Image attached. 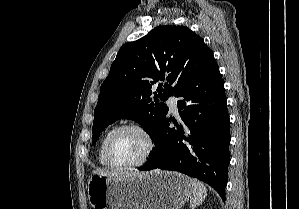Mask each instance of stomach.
I'll return each instance as SVG.
<instances>
[{"instance_id":"stomach-1","label":"stomach","mask_w":299,"mask_h":209,"mask_svg":"<svg viewBox=\"0 0 299 209\" xmlns=\"http://www.w3.org/2000/svg\"><path fill=\"white\" fill-rule=\"evenodd\" d=\"M87 192L94 209H180L191 197L193 186L181 173L153 170L122 179L93 174Z\"/></svg>"}]
</instances>
